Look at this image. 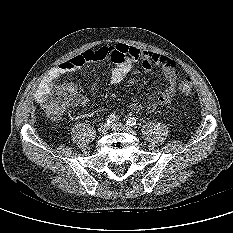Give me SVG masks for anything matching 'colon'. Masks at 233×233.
<instances>
[{
	"mask_svg": "<svg viewBox=\"0 0 233 233\" xmlns=\"http://www.w3.org/2000/svg\"><path fill=\"white\" fill-rule=\"evenodd\" d=\"M179 89L184 95H190L193 92V84L190 77L184 76L179 81ZM76 95L77 87L75 84H62L56 87L43 103L49 115L57 117L74 100Z\"/></svg>",
	"mask_w": 233,
	"mask_h": 233,
	"instance_id": "obj_1",
	"label": "colon"
}]
</instances>
